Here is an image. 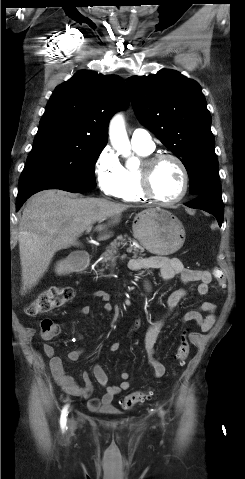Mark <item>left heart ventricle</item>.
<instances>
[{
	"mask_svg": "<svg viewBox=\"0 0 245 479\" xmlns=\"http://www.w3.org/2000/svg\"><path fill=\"white\" fill-rule=\"evenodd\" d=\"M183 178L178 165L171 160H164L156 167L152 186L163 200L176 198L182 190Z\"/></svg>",
	"mask_w": 245,
	"mask_h": 479,
	"instance_id": "1",
	"label": "left heart ventricle"
}]
</instances>
